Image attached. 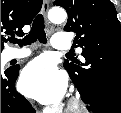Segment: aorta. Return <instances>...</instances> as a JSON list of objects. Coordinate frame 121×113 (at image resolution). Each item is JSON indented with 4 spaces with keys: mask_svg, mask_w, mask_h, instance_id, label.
Wrapping results in <instances>:
<instances>
[{
    "mask_svg": "<svg viewBox=\"0 0 121 113\" xmlns=\"http://www.w3.org/2000/svg\"><path fill=\"white\" fill-rule=\"evenodd\" d=\"M48 17L53 23H62L67 18V14L62 8H52L48 13Z\"/></svg>",
    "mask_w": 121,
    "mask_h": 113,
    "instance_id": "1",
    "label": "aorta"
}]
</instances>
